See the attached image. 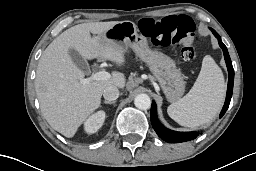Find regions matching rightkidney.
<instances>
[{
  "instance_id": "1",
  "label": "right kidney",
  "mask_w": 256,
  "mask_h": 171,
  "mask_svg": "<svg viewBox=\"0 0 256 171\" xmlns=\"http://www.w3.org/2000/svg\"><path fill=\"white\" fill-rule=\"evenodd\" d=\"M104 120L105 112L98 111L84 122V130L89 134L95 133L103 125Z\"/></svg>"
}]
</instances>
